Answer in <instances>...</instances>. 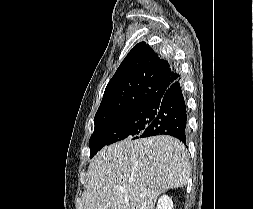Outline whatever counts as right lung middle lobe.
Segmentation results:
<instances>
[{"instance_id":"right-lung-middle-lobe-1","label":"right lung middle lobe","mask_w":253,"mask_h":209,"mask_svg":"<svg viewBox=\"0 0 253 209\" xmlns=\"http://www.w3.org/2000/svg\"><path fill=\"white\" fill-rule=\"evenodd\" d=\"M155 116L154 107L141 106L115 117L94 121V132L89 140L90 158L106 145L125 138L138 139Z\"/></svg>"}]
</instances>
